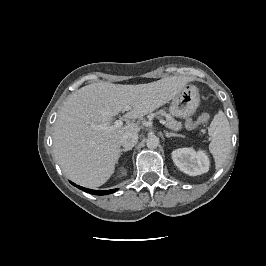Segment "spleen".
<instances>
[{
    "instance_id": "3e777b00",
    "label": "spleen",
    "mask_w": 266,
    "mask_h": 266,
    "mask_svg": "<svg viewBox=\"0 0 266 266\" xmlns=\"http://www.w3.org/2000/svg\"><path fill=\"white\" fill-rule=\"evenodd\" d=\"M208 134L212 138L209 151L215 159L216 168H220L230 152L231 145L230 125L222 111L215 115L208 127Z\"/></svg>"
}]
</instances>
